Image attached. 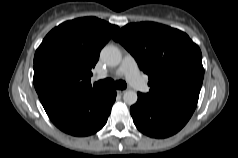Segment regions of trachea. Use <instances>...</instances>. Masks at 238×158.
Returning a JSON list of instances; mask_svg holds the SVG:
<instances>
[{
  "mask_svg": "<svg viewBox=\"0 0 238 158\" xmlns=\"http://www.w3.org/2000/svg\"><path fill=\"white\" fill-rule=\"evenodd\" d=\"M96 84L101 87H113L114 86L115 88L121 89V90L125 89L127 87V84L125 81L119 80V81L114 82L110 78L100 80V81L96 82Z\"/></svg>",
  "mask_w": 238,
  "mask_h": 158,
  "instance_id": "1",
  "label": "trachea"
}]
</instances>
